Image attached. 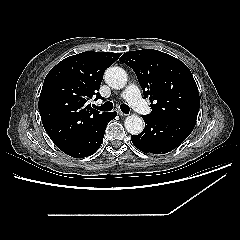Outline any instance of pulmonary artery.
<instances>
[{
    "label": "pulmonary artery",
    "instance_id": "pulmonary-artery-1",
    "mask_svg": "<svg viewBox=\"0 0 240 240\" xmlns=\"http://www.w3.org/2000/svg\"><path fill=\"white\" fill-rule=\"evenodd\" d=\"M122 98L129 102L132 108L142 114H149L150 109L140 97L139 88L136 85H129L122 93Z\"/></svg>",
    "mask_w": 240,
    "mask_h": 240
}]
</instances>
